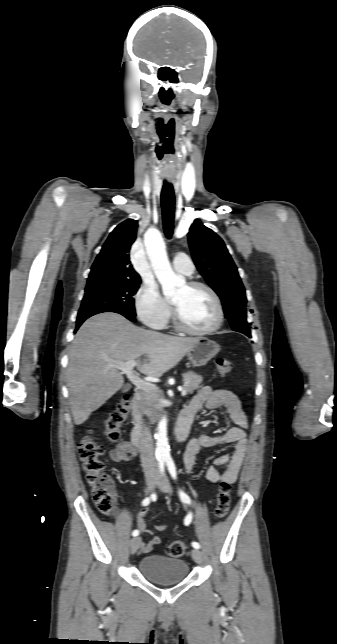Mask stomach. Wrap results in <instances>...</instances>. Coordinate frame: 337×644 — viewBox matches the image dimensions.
Instances as JSON below:
<instances>
[{"label": "stomach", "mask_w": 337, "mask_h": 644, "mask_svg": "<svg viewBox=\"0 0 337 644\" xmlns=\"http://www.w3.org/2000/svg\"><path fill=\"white\" fill-rule=\"evenodd\" d=\"M220 351V346L215 341L205 337L198 338V342L187 352V357L193 366H204Z\"/></svg>", "instance_id": "1"}]
</instances>
